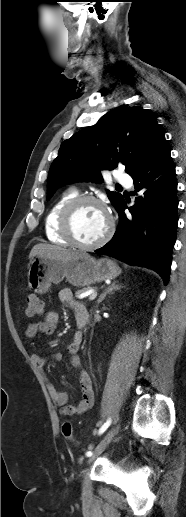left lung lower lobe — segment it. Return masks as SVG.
Masks as SVG:
<instances>
[{"label":"left lung lower lobe","mask_w":186,"mask_h":517,"mask_svg":"<svg viewBox=\"0 0 186 517\" xmlns=\"http://www.w3.org/2000/svg\"><path fill=\"white\" fill-rule=\"evenodd\" d=\"M137 192L136 204L123 200L116 210L120 222L113 238L95 252L112 256L131 265L158 272L167 284L178 224L175 166L165 137L130 175Z\"/></svg>","instance_id":"1"}]
</instances>
